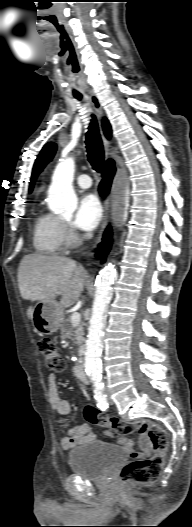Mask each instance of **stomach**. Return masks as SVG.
Segmentation results:
<instances>
[{"instance_id":"obj_1","label":"stomach","mask_w":192,"mask_h":527,"mask_svg":"<svg viewBox=\"0 0 192 527\" xmlns=\"http://www.w3.org/2000/svg\"><path fill=\"white\" fill-rule=\"evenodd\" d=\"M62 308L55 300L39 301L33 311V325L40 334L56 332L62 323Z\"/></svg>"}]
</instances>
